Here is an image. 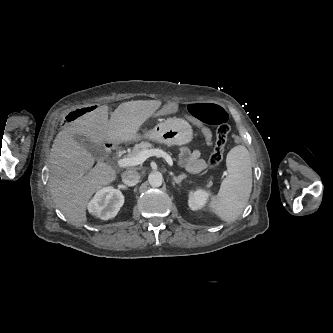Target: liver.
<instances>
[{"instance_id": "liver-1", "label": "liver", "mask_w": 333, "mask_h": 333, "mask_svg": "<svg viewBox=\"0 0 333 333\" xmlns=\"http://www.w3.org/2000/svg\"><path fill=\"white\" fill-rule=\"evenodd\" d=\"M159 100L121 103L110 120L108 106L102 105L66 124L57 134L50 153L48 186L56 206L75 226L87 222L86 207L92 195L116 179V172L103 162L92 168L95 158L78 144L75 135L89 137L94 143H127L161 106Z\"/></svg>"}]
</instances>
